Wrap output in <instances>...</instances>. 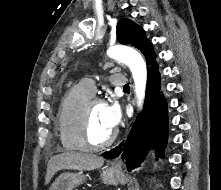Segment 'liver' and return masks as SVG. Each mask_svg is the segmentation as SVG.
<instances>
[{
	"mask_svg": "<svg viewBox=\"0 0 221 190\" xmlns=\"http://www.w3.org/2000/svg\"><path fill=\"white\" fill-rule=\"evenodd\" d=\"M104 164V158L90 154L74 151H66L50 158L47 165L45 184L47 185L52 177L60 170L78 169L94 170Z\"/></svg>",
	"mask_w": 221,
	"mask_h": 190,
	"instance_id": "6515ba94",
	"label": "liver"
}]
</instances>
